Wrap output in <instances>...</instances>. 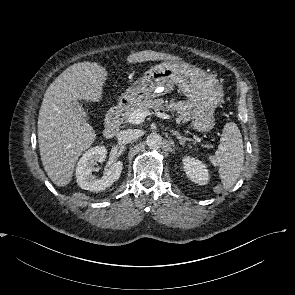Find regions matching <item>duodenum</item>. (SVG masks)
I'll return each mask as SVG.
<instances>
[{"label":"duodenum","mask_w":295,"mask_h":295,"mask_svg":"<svg viewBox=\"0 0 295 295\" xmlns=\"http://www.w3.org/2000/svg\"><path fill=\"white\" fill-rule=\"evenodd\" d=\"M125 102L121 101L110 109L106 117V124L104 128V136L106 138H113L119 129L120 116L124 110Z\"/></svg>","instance_id":"duodenum-1"}]
</instances>
